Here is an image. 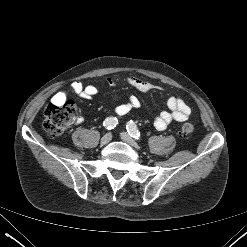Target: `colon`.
<instances>
[{"label": "colon", "instance_id": "1", "mask_svg": "<svg viewBox=\"0 0 247 247\" xmlns=\"http://www.w3.org/2000/svg\"><path fill=\"white\" fill-rule=\"evenodd\" d=\"M76 118L75 105L69 101L62 103L52 102L47 105L44 112V129L51 136H58L71 125ZM194 130L191 123H184L181 127L183 136L190 135Z\"/></svg>", "mask_w": 247, "mask_h": 247}]
</instances>
